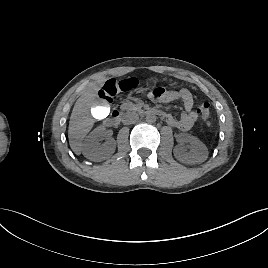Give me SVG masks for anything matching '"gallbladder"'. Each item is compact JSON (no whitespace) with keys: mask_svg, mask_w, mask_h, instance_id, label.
<instances>
[{"mask_svg":"<svg viewBox=\"0 0 268 268\" xmlns=\"http://www.w3.org/2000/svg\"><path fill=\"white\" fill-rule=\"evenodd\" d=\"M112 111L111 105L108 101L100 99L94 101L89 106V113L96 119V120H103L110 116Z\"/></svg>","mask_w":268,"mask_h":268,"instance_id":"obj_1","label":"gallbladder"}]
</instances>
